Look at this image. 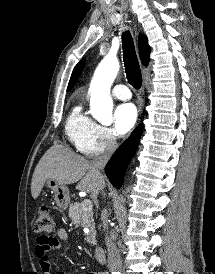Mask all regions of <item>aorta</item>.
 Instances as JSON below:
<instances>
[{
  "label": "aorta",
  "mask_w": 215,
  "mask_h": 274,
  "mask_svg": "<svg viewBox=\"0 0 215 274\" xmlns=\"http://www.w3.org/2000/svg\"><path fill=\"white\" fill-rule=\"evenodd\" d=\"M118 70V60L106 56L95 70L90 84V113L93 118L104 125L112 123L113 101L110 97V88Z\"/></svg>",
  "instance_id": "obj_1"
}]
</instances>
